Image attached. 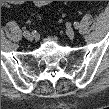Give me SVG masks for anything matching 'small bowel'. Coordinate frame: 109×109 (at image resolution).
<instances>
[{
  "label": "small bowel",
  "instance_id": "small-bowel-1",
  "mask_svg": "<svg viewBox=\"0 0 109 109\" xmlns=\"http://www.w3.org/2000/svg\"><path fill=\"white\" fill-rule=\"evenodd\" d=\"M35 6L45 7L48 4V1H34Z\"/></svg>",
  "mask_w": 109,
  "mask_h": 109
}]
</instances>
